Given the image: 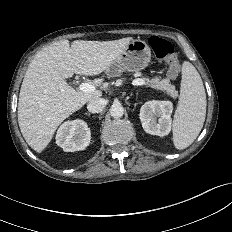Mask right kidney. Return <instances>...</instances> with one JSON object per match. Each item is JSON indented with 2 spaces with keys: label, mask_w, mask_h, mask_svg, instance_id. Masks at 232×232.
<instances>
[{
  "label": "right kidney",
  "mask_w": 232,
  "mask_h": 232,
  "mask_svg": "<svg viewBox=\"0 0 232 232\" xmlns=\"http://www.w3.org/2000/svg\"><path fill=\"white\" fill-rule=\"evenodd\" d=\"M91 133L83 120L64 122L56 134V144L65 152L84 150L90 143Z\"/></svg>",
  "instance_id": "obj_1"
}]
</instances>
